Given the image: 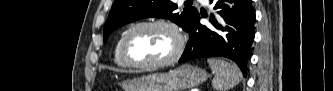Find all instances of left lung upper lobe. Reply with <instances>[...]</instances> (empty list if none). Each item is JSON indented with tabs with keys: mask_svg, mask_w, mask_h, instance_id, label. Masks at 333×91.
<instances>
[{
	"mask_svg": "<svg viewBox=\"0 0 333 91\" xmlns=\"http://www.w3.org/2000/svg\"><path fill=\"white\" fill-rule=\"evenodd\" d=\"M183 12L174 13L178 7L171 0H115L103 30L104 42L117 28L146 17L167 18L187 31L198 13L187 0Z\"/></svg>",
	"mask_w": 333,
	"mask_h": 91,
	"instance_id": "1",
	"label": "left lung upper lobe"
}]
</instances>
